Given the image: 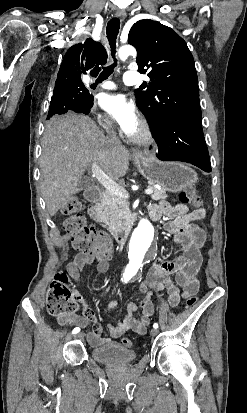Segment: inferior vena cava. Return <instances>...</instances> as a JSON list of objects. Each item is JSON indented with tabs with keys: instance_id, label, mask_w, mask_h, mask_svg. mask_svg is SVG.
<instances>
[{
	"instance_id": "obj_1",
	"label": "inferior vena cava",
	"mask_w": 247,
	"mask_h": 413,
	"mask_svg": "<svg viewBox=\"0 0 247 413\" xmlns=\"http://www.w3.org/2000/svg\"><path fill=\"white\" fill-rule=\"evenodd\" d=\"M106 138H108V142H120L117 136V132L116 130H114V128H112V130H108V136H106Z\"/></svg>"
}]
</instances>
